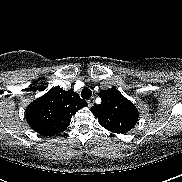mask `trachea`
<instances>
[{"instance_id":"1","label":"trachea","mask_w":182,"mask_h":182,"mask_svg":"<svg viewBox=\"0 0 182 182\" xmlns=\"http://www.w3.org/2000/svg\"><path fill=\"white\" fill-rule=\"evenodd\" d=\"M92 95V91L89 89V88H84L82 91H81V97L83 99H89Z\"/></svg>"}]
</instances>
